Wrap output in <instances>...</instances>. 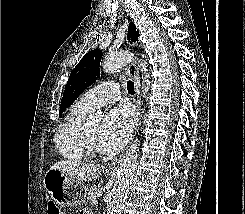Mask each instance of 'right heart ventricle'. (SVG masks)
<instances>
[{
    "label": "right heart ventricle",
    "mask_w": 245,
    "mask_h": 214,
    "mask_svg": "<svg viewBox=\"0 0 245 214\" xmlns=\"http://www.w3.org/2000/svg\"><path fill=\"white\" fill-rule=\"evenodd\" d=\"M90 110L80 101L77 102L58 128L54 144L63 159L75 163H81L86 160L87 155L81 145L80 133L83 119Z\"/></svg>",
    "instance_id": "1"
}]
</instances>
